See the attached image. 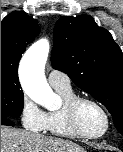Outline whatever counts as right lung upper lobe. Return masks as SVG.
<instances>
[{
	"instance_id": "right-lung-upper-lobe-1",
	"label": "right lung upper lobe",
	"mask_w": 123,
	"mask_h": 152,
	"mask_svg": "<svg viewBox=\"0 0 123 152\" xmlns=\"http://www.w3.org/2000/svg\"><path fill=\"white\" fill-rule=\"evenodd\" d=\"M37 20L14 11L1 21V72L17 74L26 46L39 34Z\"/></svg>"
}]
</instances>
